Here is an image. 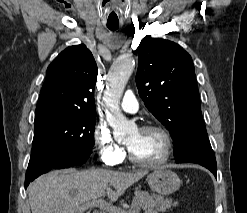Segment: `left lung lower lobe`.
Here are the masks:
<instances>
[{"label":"left lung lower lobe","instance_id":"0a47b994","mask_svg":"<svg viewBox=\"0 0 247 213\" xmlns=\"http://www.w3.org/2000/svg\"><path fill=\"white\" fill-rule=\"evenodd\" d=\"M176 163H196L208 168L217 177L216 160L207 135H196L187 147L176 155Z\"/></svg>","mask_w":247,"mask_h":213}]
</instances>
